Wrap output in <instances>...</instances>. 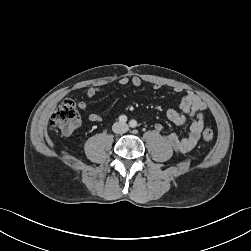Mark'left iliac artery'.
I'll list each match as a JSON object with an SVG mask.
<instances>
[{
	"label": "left iliac artery",
	"instance_id": "44dca946",
	"mask_svg": "<svg viewBox=\"0 0 251 251\" xmlns=\"http://www.w3.org/2000/svg\"><path fill=\"white\" fill-rule=\"evenodd\" d=\"M130 127L135 128L137 126V122L135 120H131L129 122Z\"/></svg>",
	"mask_w": 251,
	"mask_h": 251
}]
</instances>
